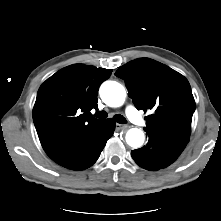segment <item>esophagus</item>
<instances>
[{
	"label": "esophagus",
	"mask_w": 221,
	"mask_h": 221,
	"mask_svg": "<svg viewBox=\"0 0 221 221\" xmlns=\"http://www.w3.org/2000/svg\"><path fill=\"white\" fill-rule=\"evenodd\" d=\"M125 128H127L126 125H123V124H116V129H117V130H122V129H125Z\"/></svg>",
	"instance_id": "esophagus-1"
}]
</instances>
